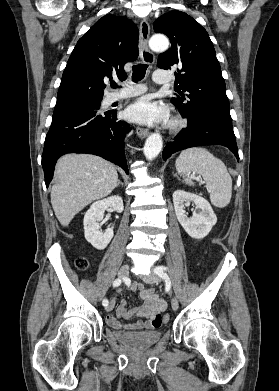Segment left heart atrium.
<instances>
[{
	"label": "left heart atrium",
	"mask_w": 279,
	"mask_h": 391,
	"mask_svg": "<svg viewBox=\"0 0 279 391\" xmlns=\"http://www.w3.org/2000/svg\"><path fill=\"white\" fill-rule=\"evenodd\" d=\"M126 115L130 120L146 125L163 124L169 118L167 107L152 101L149 96L141 97L132 103L127 108Z\"/></svg>",
	"instance_id": "obj_1"
}]
</instances>
